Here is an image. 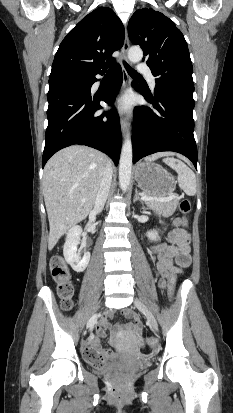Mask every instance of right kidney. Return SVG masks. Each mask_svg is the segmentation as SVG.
I'll use <instances>...</instances> for the list:
<instances>
[{"label": "right kidney", "mask_w": 233, "mask_h": 413, "mask_svg": "<svg viewBox=\"0 0 233 413\" xmlns=\"http://www.w3.org/2000/svg\"><path fill=\"white\" fill-rule=\"evenodd\" d=\"M82 228L80 226H73L69 229L66 236V241L63 246V254L66 262L71 265L76 272H83L90 261V252L85 251L83 257L77 253V246L80 243V235Z\"/></svg>", "instance_id": "obj_1"}]
</instances>
